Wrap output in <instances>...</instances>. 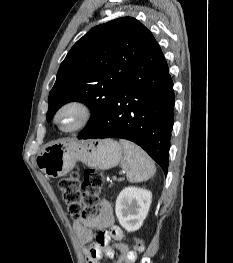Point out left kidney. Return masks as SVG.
Listing matches in <instances>:
<instances>
[{
	"label": "left kidney",
	"instance_id": "1",
	"mask_svg": "<svg viewBox=\"0 0 233 263\" xmlns=\"http://www.w3.org/2000/svg\"><path fill=\"white\" fill-rule=\"evenodd\" d=\"M152 193L143 188L126 187L116 199L115 212L120 225L128 232L138 230L146 218Z\"/></svg>",
	"mask_w": 233,
	"mask_h": 263
}]
</instances>
